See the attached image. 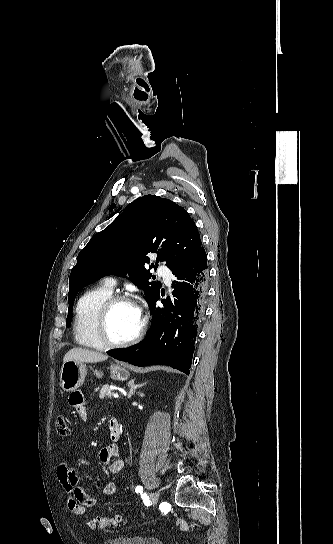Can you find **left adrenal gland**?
Segmentation results:
<instances>
[{
  "label": "left adrenal gland",
  "instance_id": "left-adrenal-gland-1",
  "mask_svg": "<svg viewBox=\"0 0 333 544\" xmlns=\"http://www.w3.org/2000/svg\"><path fill=\"white\" fill-rule=\"evenodd\" d=\"M134 381H135V380H130V381L128 382V387L130 388V391H129V394H128V398H131V396L135 393V390H136L137 388H140V387H142V386H144V385L146 384V383H142V384L135 385V384H134Z\"/></svg>",
  "mask_w": 333,
  "mask_h": 544
}]
</instances>
